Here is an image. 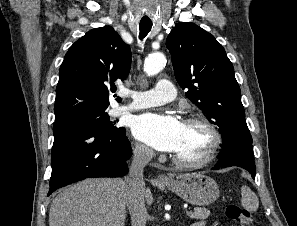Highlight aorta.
I'll return each mask as SVG.
<instances>
[{"instance_id": "aorta-1", "label": "aorta", "mask_w": 297, "mask_h": 226, "mask_svg": "<svg viewBox=\"0 0 297 226\" xmlns=\"http://www.w3.org/2000/svg\"><path fill=\"white\" fill-rule=\"evenodd\" d=\"M166 64V58L162 53L150 54L144 62V71L148 76L158 74Z\"/></svg>"}]
</instances>
